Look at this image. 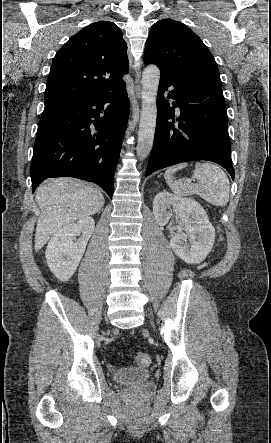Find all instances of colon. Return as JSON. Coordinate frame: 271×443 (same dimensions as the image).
<instances>
[{
  "label": "colon",
  "mask_w": 271,
  "mask_h": 443,
  "mask_svg": "<svg viewBox=\"0 0 271 443\" xmlns=\"http://www.w3.org/2000/svg\"><path fill=\"white\" fill-rule=\"evenodd\" d=\"M135 360L139 366L146 367L150 363V356L145 352H138Z\"/></svg>",
  "instance_id": "5ec220e1"
}]
</instances>
